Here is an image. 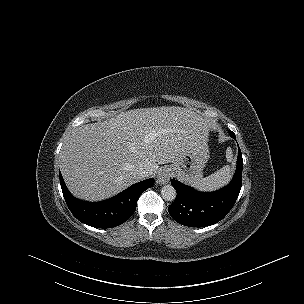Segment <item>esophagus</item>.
<instances>
[{
    "mask_svg": "<svg viewBox=\"0 0 304 304\" xmlns=\"http://www.w3.org/2000/svg\"><path fill=\"white\" fill-rule=\"evenodd\" d=\"M156 178L158 184H166L171 178V172L169 169L163 168L158 172Z\"/></svg>",
    "mask_w": 304,
    "mask_h": 304,
    "instance_id": "obj_1",
    "label": "esophagus"
}]
</instances>
